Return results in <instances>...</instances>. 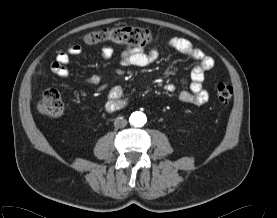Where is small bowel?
<instances>
[{"mask_svg": "<svg viewBox=\"0 0 277 218\" xmlns=\"http://www.w3.org/2000/svg\"><path fill=\"white\" fill-rule=\"evenodd\" d=\"M167 44L174 50L185 54L189 58L197 61L199 64L193 68L191 72V82L188 91H183L179 95V99L184 103L202 105L208 101V92L203 88V82L206 74L214 66L212 57L206 55L201 49L194 47L190 41L181 37H171L167 40ZM82 47L79 45L71 46L67 51L60 52L55 60L51 63V72L59 77L66 78L70 75L69 63L71 57L80 56ZM100 56L104 60H110L114 56V51L111 47L105 46L102 48ZM159 52L157 48L151 49L149 52L141 50H125L120 56V63L124 66H147L157 60ZM86 83L92 86L99 84L100 78L97 75H91L86 78ZM168 91L175 89L173 84L166 86ZM123 90L120 87H114L110 96L112 99L122 97Z\"/></svg>", "mask_w": 277, "mask_h": 218, "instance_id": "1", "label": "small bowel"}]
</instances>
